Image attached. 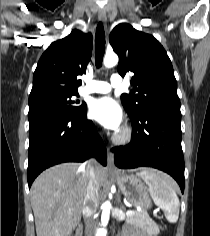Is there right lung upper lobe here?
Here are the masks:
<instances>
[{
  "label": "right lung upper lobe",
  "mask_w": 210,
  "mask_h": 236,
  "mask_svg": "<svg viewBox=\"0 0 210 236\" xmlns=\"http://www.w3.org/2000/svg\"><path fill=\"white\" fill-rule=\"evenodd\" d=\"M92 54V35L73 30L53 42L41 56L33 77L29 101L46 92L78 93V75L86 71Z\"/></svg>",
  "instance_id": "obj_1"
}]
</instances>
